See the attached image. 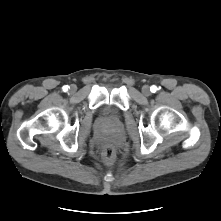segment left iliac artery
Here are the masks:
<instances>
[{
    "label": "left iliac artery",
    "mask_w": 221,
    "mask_h": 221,
    "mask_svg": "<svg viewBox=\"0 0 221 221\" xmlns=\"http://www.w3.org/2000/svg\"><path fill=\"white\" fill-rule=\"evenodd\" d=\"M150 90L152 93H155L157 91V87L155 85L150 87Z\"/></svg>",
    "instance_id": "1"
}]
</instances>
